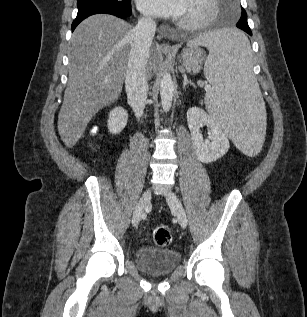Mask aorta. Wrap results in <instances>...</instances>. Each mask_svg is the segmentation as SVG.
Returning <instances> with one entry per match:
<instances>
[{
	"label": "aorta",
	"mask_w": 307,
	"mask_h": 317,
	"mask_svg": "<svg viewBox=\"0 0 307 317\" xmlns=\"http://www.w3.org/2000/svg\"><path fill=\"white\" fill-rule=\"evenodd\" d=\"M174 93V83L169 72L163 74L160 81V98L164 112H168L172 107Z\"/></svg>",
	"instance_id": "aorta-1"
}]
</instances>
